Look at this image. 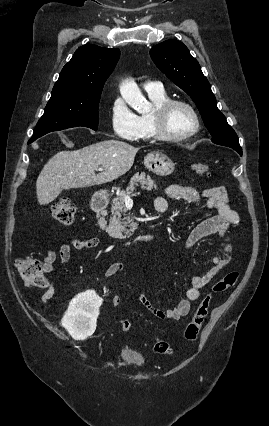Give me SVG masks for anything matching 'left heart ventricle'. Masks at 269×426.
Wrapping results in <instances>:
<instances>
[{"label": "left heart ventricle", "mask_w": 269, "mask_h": 426, "mask_svg": "<svg viewBox=\"0 0 269 426\" xmlns=\"http://www.w3.org/2000/svg\"><path fill=\"white\" fill-rule=\"evenodd\" d=\"M194 125V117L186 107L176 106L171 110L167 121V128L170 133L184 134L191 131Z\"/></svg>", "instance_id": "b2bd125f"}]
</instances>
